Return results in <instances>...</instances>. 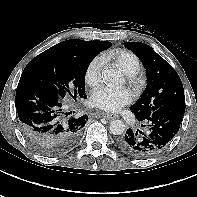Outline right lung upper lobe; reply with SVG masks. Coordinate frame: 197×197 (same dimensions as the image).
<instances>
[{
    "mask_svg": "<svg viewBox=\"0 0 197 197\" xmlns=\"http://www.w3.org/2000/svg\"><path fill=\"white\" fill-rule=\"evenodd\" d=\"M95 42H97V40L84 41V40H79V39H71V40L60 42L59 44L55 46L63 49L66 52L77 53L78 51L81 50L83 46L90 44V43H95Z\"/></svg>",
    "mask_w": 197,
    "mask_h": 197,
    "instance_id": "1",
    "label": "right lung upper lobe"
}]
</instances>
